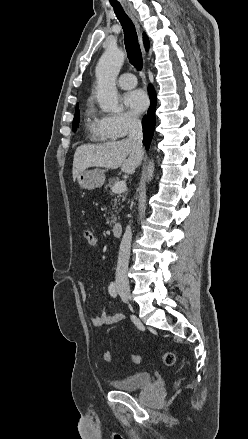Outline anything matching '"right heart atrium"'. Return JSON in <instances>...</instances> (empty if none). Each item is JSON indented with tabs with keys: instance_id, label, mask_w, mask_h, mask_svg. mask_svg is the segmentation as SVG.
<instances>
[{
	"instance_id": "d8ad5b80",
	"label": "right heart atrium",
	"mask_w": 248,
	"mask_h": 439,
	"mask_svg": "<svg viewBox=\"0 0 248 439\" xmlns=\"http://www.w3.org/2000/svg\"><path fill=\"white\" fill-rule=\"evenodd\" d=\"M102 122L106 131L116 138L128 135L140 123L138 117L130 112H120L104 116Z\"/></svg>"
}]
</instances>
